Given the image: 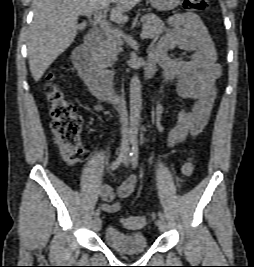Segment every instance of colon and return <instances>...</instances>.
<instances>
[{
    "mask_svg": "<svg viewBox=\"0 0 254 267\" xmlns=\"http://www.w3.org/2000/svg\"><path fill=\"white\" fill-rule=\"evenodd\" d=\"M184 5L191 11H203L208 8L209 0H185ZM56 79L54 71H50L46 75V96L49 102L51 129L61 158L67 164L74 165L83 162L88 156L80 139L82 119L77 113L75 105L65 98ZM193 171V162L191 158H188L182 165V172L184 175L190 176ZM121 222L128 229H140L147 224L148 218L146 216H126Z\"/></svg>",
    "mask_w": 254,
    "mask_h": 267,
    "instance_id": "5ec220e1",
    "label": "colon"
}]
</instances>
